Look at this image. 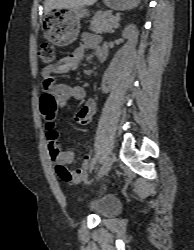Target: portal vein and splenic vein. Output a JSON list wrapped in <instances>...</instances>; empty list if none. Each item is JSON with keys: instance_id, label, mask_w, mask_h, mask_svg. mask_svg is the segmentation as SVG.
<instances>
[{"instance_id": "obj_1", "label": "portal vein and splenic vein", "mask_w": 194, "mask_h": 250, "mask_svg": "<svg viewBox=\"0 0 194 250\" xmlns=\"http://www.w3.org/2000/svg\"><path fill=\"white\" fill-rule=\"evenodd\" d=\"M115 20H116V21H119V20H120V17H119V16H116V17H115Z\"/></svg>"}]
</instances>
